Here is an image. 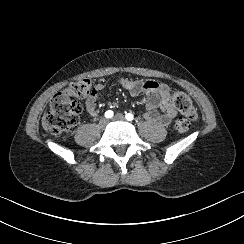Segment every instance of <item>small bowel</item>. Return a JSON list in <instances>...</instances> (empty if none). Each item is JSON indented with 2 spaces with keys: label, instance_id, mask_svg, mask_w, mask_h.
Segmentation results:
<instances>
[{
  "label": "small bowel",
  "instance_id": "1",
  "mask_svg": "<svg viewBox=\"0 0 244 244\" xmlns=\"http://www.w3.org/2000/svg\"><path fill=\"white\" fill-rule=\"evenodd\" d=\"M117 84L132 96L145 97L146 112L144 118L150 123L168 126L176 116V110L171 102L170 88L168 85L154 80H138L120 76ZM108 84L97 82L85 101V110L89 115H94L97 110L98 100Z\"/></svg>",
  "mask_w": 244,
  "mask_h": 244
}]
</instances>
